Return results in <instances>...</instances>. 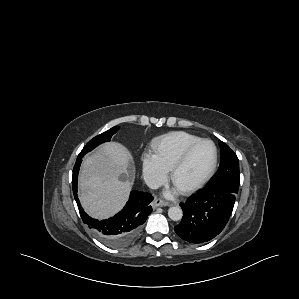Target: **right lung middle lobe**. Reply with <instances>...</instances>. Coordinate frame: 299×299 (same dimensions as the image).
<instances>
[{
    "label": "right lung middle lobe",
    "instance_id": "dd1d6c3e",
    "mask_svg": "<svg viewBox=\"0 0 299 299\" xmlns=\"http://www.w3.org/2000/svg\"><path fill=\"white\" fill-rule=\"evenodd\" d=\"M117 130L118 127H113L108 131L94 137L91 141L87 143L86 146H84V148L82 149L79 155H85L86 153L94 149L99 144L110 141L112 135L115 134Z\"/></svg>",
    "mask_w": 299,
    "mask_h": 299
}]
</instances>
